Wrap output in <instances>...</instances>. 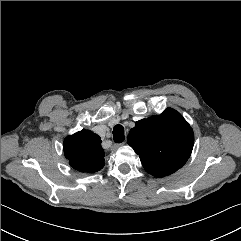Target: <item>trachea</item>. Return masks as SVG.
I'll use <instances>...</instances> for the list:
<instances>
[{
  "instance_id": "3493384b",
  "label": "trachea",
  "mask_w": 241,
  "mask_h": 241,
  "mask_svg": "<svg viewBox=\"0 0 241 241\" xmlns=\"http://www.w3.org/2000/svg\"><path fill=\"white\" fill-rule=\"evenodd\" d=\"M113 139L116 143H121L125 139L124 127L122 125H116L113 129Z\"/></svg>"
}]
</instances>
